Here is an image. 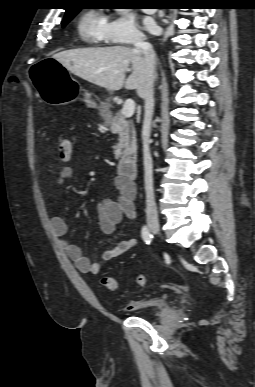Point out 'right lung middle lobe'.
Masks as SVG:
<instances>
[{
    "label": "right lung middle lobe",
    "mask_w": 255,
    "mask_h": 387,
    "mask_svg": "<svg viewBox=\"0 0 255 387\" xmlns=\"http://www.w3.org/2000/svg\"><path fill=\"white\" fill-rule=\"evenodd\" d=\"M81 8H78V7H75V8H72L70 10H68L65 14V17H64V22H63V26H65L66 24H68L72 19L73 17L78 13V11L80 10Z\"/></svg>",
    "instance_id": "dd1d6c3e"
}]
</instances>
